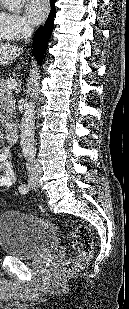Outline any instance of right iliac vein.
I'll return each instance as SVG.
<instances>
[{
  "label": "right iliac vein",
  "mask_w": 129,
  "mask_h": 309,
  "mask_svg": "<svg viewBox=\"0 0 129 309\" xmlns=\"http://www.w3.org/2000/svg\"><path fill=\"white\" fill-rule=\"evenodd\" d=\"M29 185L31 186V187H34V186H36L37 185V183H38V180H37V178H35V177H32V178H30L29 179Z\"/></svg>",
  "instance_id": "obj_1"
}]
</instances>
